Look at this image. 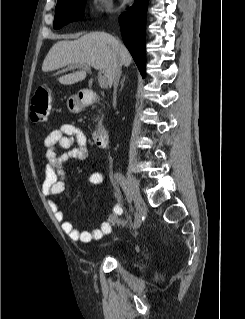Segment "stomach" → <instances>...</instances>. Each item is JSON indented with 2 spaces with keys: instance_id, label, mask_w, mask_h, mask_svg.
I'll use <instances>...</instances> for the list:
<instances>
[{
  "instance_id": "0dacf381",
  "label": "stomach",
  "mask_w": 245,
  "mask_h": 319,
  "mask_svg": "<svg viewBox=\"0 0 245 319\" xmlns=\"http://www.w3.org/2000/svg\"><path fill=\"white\" fill-rule=\"evenodd\" d=\"M67 108L71 113H79L84 108V104L78 95H72L67 100Z\"/></svg>"
}]
</instances>
